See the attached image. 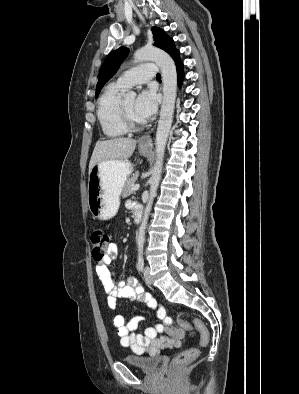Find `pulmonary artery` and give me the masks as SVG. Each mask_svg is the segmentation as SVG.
<instances>
[{"label":"pulmonary artery","mask_w":299,"mask_h":394,"mask_svg":"<svg viewBox=\"0 0 299 394\" xmlns=\"http://www.w3.org/2000/svg\"><path fill=\"white\" fill-rule=\"evenodd\" d=\"M156 75L157 66L152 63H146L126 71L116 82L123 88H130L138 84H143Z\"/></svg>","instance_id":"obj_1"}]
</instances>
